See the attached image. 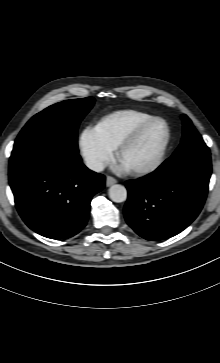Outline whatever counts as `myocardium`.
Listing matches in <instances>:
<instances>
[{
	"mask_svg": "<svg viewBox=\"0 0 220 363\" xmlns=\"http://www.w3.org/2000/svg\"><path fill=\"white\" fill-rule=\"evenodd\" d=\"M157 122L163 123L166 128V137L163 142V145H162L159 153L157 154L156 158L151 163H149L145 166L130 169V172L134 175L149 174V173L155 171L156 169H158L161 166V164L163 163L166 153L168 151L170 142H171V137H172L171 128H170L168 122L161 117H153L150 120L145 121L144 123L135 127L116 146L115 156L117 159H119L121 154L126 149H128L131 145H133L147 128H149L151 125H153Z\"/></svg>",
	"mask_w": 220,
	"mask_h": 363,
	"instance_id": "1",
	"label": "myocardium"
}]
</instances>
